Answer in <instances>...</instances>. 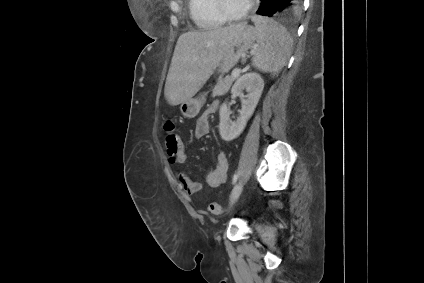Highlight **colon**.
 Instances as JSON below:
<instances>
[{
    "instance_id": "obj_1",
    "label": "colon",
    "mask_w": 424,
    "mask_h": 283,
    "mask_svg": "<svg viewBox=\"0 0 424 283\" xmlns=\"http://www.w3.org/2000/svg\"><path fill=\"white\" fill-rule=\"evenodd\" d=\"M165 144L171 148L170 154L180 153L182 151L183 142L180 136L176 133V126L172 120H167L164 124ZM208 210L212 214L221 215L223 208L217 203H210Z\"/></svg>"
}]
</instances>
